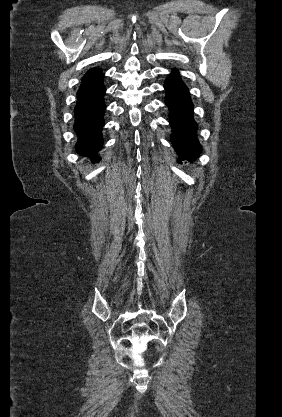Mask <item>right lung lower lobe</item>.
I'll use <instances>...</instances> for the list:
<instances>
[{
  "label": "right lung lower lobe",
  "mask_w": 282,
  "mask_h": 417,
  "mask_svg": "<svg viewBox=\"0 0 282 417\" xmlns=\"http://www.w3.org/2000/svg\"><path fill=\"white\" fill-rule=\"evenodd\" d=\"M103 78L104 73L98 68L91 69L84 75L74 110V129L78 135L76 150L80 155L90 158L93 163L100 160L98 151L101 150L103 144L101 131L106 108L104 103L106 89L103 85Z\"/></svg>",
  "instance_id": "1"
}]
</instances>
